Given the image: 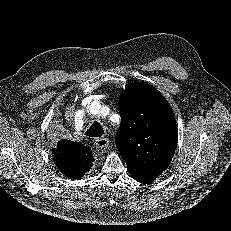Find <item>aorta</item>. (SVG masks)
<instances>
[{"label":"aorta","mask_w":231,"mask_h":231,"mask_svg":"<svg viewBox=\"0 0 231 231\" xmlns=\"http://www.w3.org/2000/svg\"><path fill=\"white\" fill-rule=\"evenodd\" d=\"M103 105H101L99 102L97 101H92L89 105H88V110L89 112H91L94 115H99L102 113L103 111Z\"/></svg>","instance_id":"aorta-1"}]
</instances>
